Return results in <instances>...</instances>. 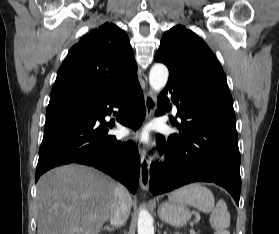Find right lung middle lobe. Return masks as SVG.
Here are the masks:
<instances>
[{
  "instance_id": "dd1d6c3e",
  "label": "right lung middle lobe",
  "mask_w": 279,
  "mask_h": 234,
  "mask_svg": "<svg viewBox=\"0 0 279 234\" xmlns=\"http://www.w3.org/2000/svg\"><path fill=\"white\" fill-rule=\"evenodd\" d=\"M88 107H79V106H61V107H53L47 108L46 111V120L54 117L64 116L75 114L78 112L84 111Z\"/></svg>"
}]
</instances>
